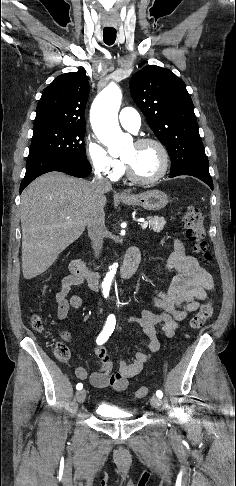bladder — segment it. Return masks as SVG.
I'll return each instance as SVG.
<instances>
[{
  "label": "bladder",
  "mask_w": 236,
  "mask_h": 486,
  "mask_svg": "<svg viewBox=\"0 0 236 486\" xmlns=\"http://www.w3.org/2000/svg\"><path fill=\"white\" fill-rule=\"evenodd\" d=\"M96 412L98 415L111 419L129 420L132 418L133 414L124 411L116 406L110 405L108 403H101L97 406Z\"/></svg>",
  "instance_id": "obj_1"
}]
</instances>
